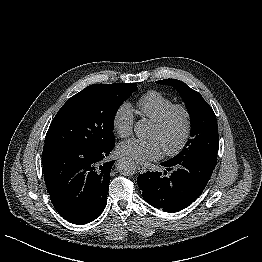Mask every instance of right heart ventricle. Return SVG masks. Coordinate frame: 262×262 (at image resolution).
<instances>
[{
	"label": "right heart ventricle",
	"mask_w": 262,
	"mask_h": 262,
	"mask_svg": "<svg viewBox=\"0 0 262 262\" xmlns=\"http://www.w3.org/2000/svg\"><path fill=\"white\" fill-rule=\"evenodd\" d=\"M173 104V100L159 91H148L136 102L139 113L154 122Z\"/></svg>",
	"instance_id": "obj_1"
}]
</instances>
